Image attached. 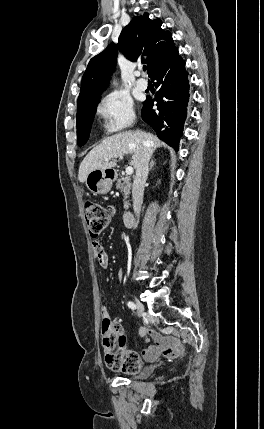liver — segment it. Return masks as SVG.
Wrapping results in <instances>:
<instances>
[{"label":"liver","mask_w":264,"mask_h":429,"mask_svg":"<svg viewBox=\"0 0 264 429\" xmlns=\"http://www.w3.org/2000/svg\"><path fill=\"white\" fill-rule=\"evenodd\" d=\"M145 146L153 152L156 147L160 146V141L153 134L139 130L118 133L104 139L81 162L78 173L79 181L84 183L87 175L93 170L115 167L114 159L129 153L132 154L130 165L136 169Z\"/></svg>","instance_id":"1"}]
</instances>
